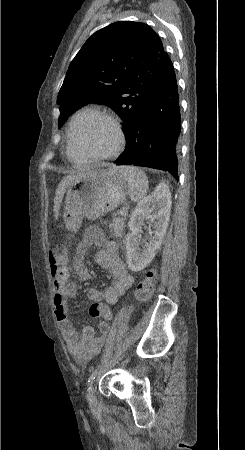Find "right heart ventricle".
Listing matches in <instances>:
<instances>
[{
	"instance_id": "e07e8e85",
	"label": "right heart ventricle",
	"mask_w": 245,
	"mask_h": 450,
	"mask_svg": "<svg viewBox=\"0 0 245 450\" xmlns=\"http://www.w3.org/2000/svg\"><path fill=\"white\" fill-rule=\"evenodd\" d=\"M97 110H95V109H93V108H90V107H87V108H83V109H81V110H79L76 114H75V116L74 117H79V118H85V117H87L88 115H90V114H92L93 112H96ZM67 155H68V157L72 160V161H74V162H82V161H84L85 159H83L82 157H80L76 152H74L72 149H71V146H70V142H69V136H68V138H67Z\"/></svg>"
}]
</instances>
